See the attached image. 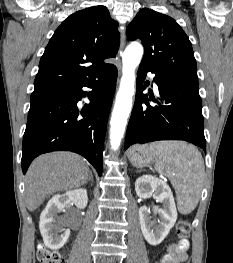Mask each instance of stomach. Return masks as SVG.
<instances>
[{"label": "stomach", "instance_id": "stomach-1", "mask_svg": "<svg viewBox=\"0 0 233 263\" xmlns=\"http://www.w3.org/2000/svg\"><path fill=\"white\" fill-rule=\"evenodd\" d=\"M129 160L133 166L137 168H143L149 166L156 156L150 150V146L147 145H137L130 149Z\"/></svg>", "mask_w": 233, "mask_h": 263}]
</instances>
